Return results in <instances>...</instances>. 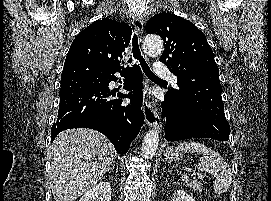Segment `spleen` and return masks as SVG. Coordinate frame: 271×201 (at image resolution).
Masks as SVG:
<instances>
[{
  "instance_id": "1",
  "label": "spleen",
  "mask_w": 271,
  "mask_h": 201,
  "mask_svg": "<svg viewBox=\"0 0 271 201\" xmlns=\"http://www.w3.org/2000/svg\"><path fill=\"white\" fill-rule=\"evenodd\" d=\"M176 150L191 153L196 152L198 155H201L202 157L199 159L198 164H196V168L199 171L211 173L216 177L213 184V189L216 194L220 195L227 192L231 185L232 172L228 163L218 152L196 141L180 143ZM182 178L185 182L189 181L187 175H184ZM192 183L193 182L190 183V186H192Z\"/></svg>"
}]
</instances>
